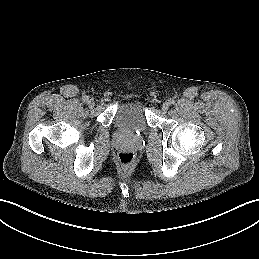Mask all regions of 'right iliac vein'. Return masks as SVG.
I'll return each instance as SVG.
<instances>
[{
	"label": "right iliac vein",
	"mask_w": 259,
	"mask_h": 259,
	"mask_svg": "<svg viewBox=\"0 0 259 259\" xmlns=\"http://www.w3.org/2000/svg\"><path fill=\"white\" fill-rule=\"evenodd\" d=\"M88 105H89V107H93L95 105L94 100L93 99H89L88 100Z\"/></svg>",
	"instance_id": "1"
}]
</instances>
